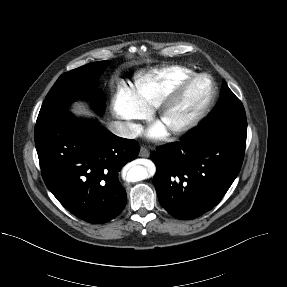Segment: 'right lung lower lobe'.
Segmentation results:
<instances>
[{"label":"right lung lower lobe","instance_id":"obj_1","mask_svg":"<svg viewBox=\"0 0 287 287\" xmlns=\"http://www.w3.org/2000/svg\"><path fill=\"white\" fill-rule=\"evenodd\" d=\"M35 145L46 186L69 212L94 224L122 212L127 196L118 172L139 154L135 140L66 111L36 123Z\"/></svg>","mask_w":287,"mask_h":287}]
</instances>
